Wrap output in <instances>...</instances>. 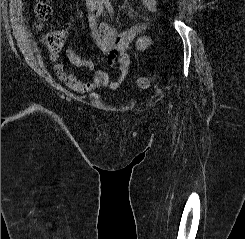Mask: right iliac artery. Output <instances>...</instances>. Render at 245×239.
Listing matches in <instances>:
<instances>
[{"instance_id":"1","label":"right iliac artery","mask_w":245,"mask_h":239,"mask_svg":"<svg viewBox=\"0 0 245 239\" xmlns=\"http://www.w3.org/2000/svg\"><path fill=\"white\" fill-rule=\"evenodd\" d=\"M103 8H104V6H103V2L99 5V8H98V10H97V12H96V17H99L100 15H101V13H102V11H103Z\"/></svg>"}]
</instances>
